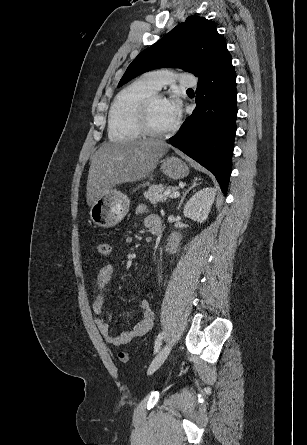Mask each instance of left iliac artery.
<instances>
[{"mask_svg": "<svg viewBox=\"0 0 307 445\" xmlns=\"http://www.w3.org/2000/svg\"><path fill=\"white\" fill-rule=\"evenodd\" d=\"M162 338H163L162 333H159L155 342L154 353H157L159 351L162 344Z\"/></svg>", "mask_w": 307, "mask_h": 445, "instance_id": "obj_1", "label": "left iliac artery"}]
</instances>
